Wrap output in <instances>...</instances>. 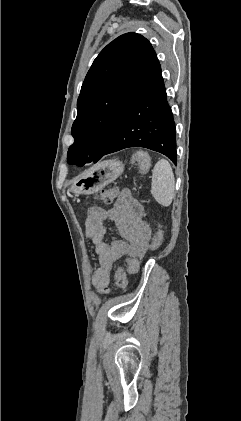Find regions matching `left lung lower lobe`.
Returning <instances> with one entry per match:
<instances>
[{
	"label": "left lung lower lobe",
	"mask_w": 241,
	"mask_h": 421,
	"mask_svg": "<svg viewBox=\"0 0 241 421\" xmlns=\"http://www.w3.org/2000/svg\"><path fill=\"white\" fill-rule=\"evenodd\" d=\"M129 147L148 148L166 155L174 164L177 162L175 122L155 52L142 73L117 134L104 155ZM85 163L89 161L77 166Z\"/></svg>",
	"instance_id": "left-lung-lower-lobe-1"
}]
</instances>
